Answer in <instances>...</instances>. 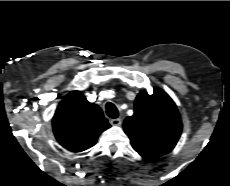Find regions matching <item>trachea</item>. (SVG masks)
<instances>
[{"label":"trachea","mask_w":230,"mask_h":186,"mask_svg":"<svg viewBox=\"0 0 230 186\" xmlns=\"http://www.w3.org/2000/svg\"><path fill=\"white\" fill-rule=\"evenodd\" d=\"M106 113L110 118L115 119L118 117V110L116 106L111 102L106 104Z\"/></svg>","instance_id":"trachea-1"}]
</instances>
